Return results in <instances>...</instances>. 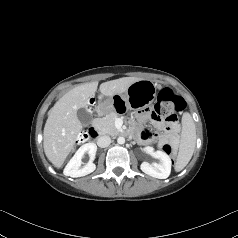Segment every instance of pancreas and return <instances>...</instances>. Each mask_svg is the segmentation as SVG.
Listing matches in <instances>:
<instances>
[{"label":"pancreas","mask_w":238,"mask_h":238,"mask_svg":"<svg viewBox=\"0 0 238 238\" xmlns=\"http://www.w3.org/2000/svg\"><path fill=\"white\" fill-rule=\"evenodd\" d=\"M117 115L110 113L103 118H96L93 121V126L102 134L116 135L119 130L115 127V119Z\"/></svg>","instance_id":"obj_1"}]
</instances>
